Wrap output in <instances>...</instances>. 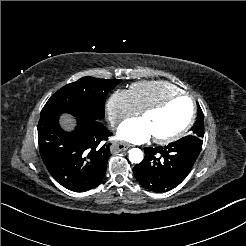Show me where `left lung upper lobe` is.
Listing matches in <instances>:
<instances>
[{
    "mask_svg": "<svg viewBox=\"0 0 246 246\" xmlns=\"http://www.w3.org/2000/svg\"><path fill=\"white\" fill-rule=\"evenodd\" d=\"M198 106V115H197V120L193 127L191 128V135L203 138L204 136V115L203 112L197 103Z\"/></svg>",
    "mask_w": 246,
    "mask_h": 246,
    "instance_id": "left-lung-upper-lobe-1",
    "label": "left lung upper lobe"
}]
</instances>
